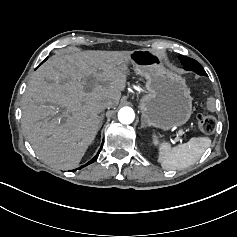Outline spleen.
<instances>
[{
  "mask_svg": "<svg viewBox=\"0 0 237 237\" xmlns=\"http://www.w3.org/2000/svg\"><path fill=\"white\" fill-rule=\"evenodd\" d=\"M210 145L208 137H193L173 148L168 142H163L159 147L158 162L166 170L184 169L196 163Z\"/></svg>",
  "mask_w": 237,
  "mask_h": 237,
  "instance_id": "obj_1",
  "label": "spleen"
}]
</instances>
